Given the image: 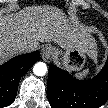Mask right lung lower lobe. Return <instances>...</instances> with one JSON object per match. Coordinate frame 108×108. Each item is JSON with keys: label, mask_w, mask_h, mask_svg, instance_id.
<instances>
[{"label": "right lung lower lobe", "mask_w": 108, "mask_h": 108, "mask_svg": "<svg viewBox=\"0 0 108 108\" xmlns=\"http://www.w3.org/2000/svg\"><path fill=\"white\" fill-rule=\"evenodd\" d=\"M40 58L38 51L16 56L0 66V107L11 104L17 94L20 78Z\"/></svg>", "instance_id": "98d812e1"}]
</instances>
